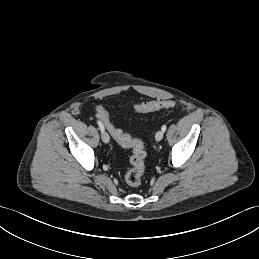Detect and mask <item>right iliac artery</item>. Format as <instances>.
I'll return each instance as SVG.
<instances>
[{
	"label": "right iliac artery",
	"instance_id": "right-iliac-artery-1",
	"mask_svg": "<svg viewBox=\"0 0 259 259\" xmlns=\"http://www.w3.org/2000/svg\"><path fill=\"white\" fill-rule=\"evenodd\" d=\"M97 124H98V126H99L101 132H103V131H104V126H103V124H102L100 121H97Z\"/></svg>",
	"mask_w": 259,
	"mask_h": 259
}]
</instances>
